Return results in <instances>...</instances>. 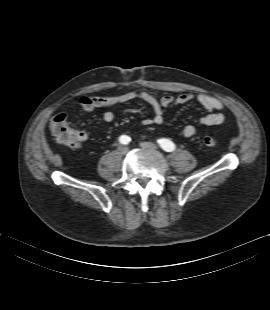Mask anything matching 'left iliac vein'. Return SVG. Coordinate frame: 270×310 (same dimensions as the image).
Wrapping results in <instances>:
<instances>
[{
	"label": "left iliac vein",
	"mask_w": 270,
	"mask_h": 310,
	"mask_svg": "<svg viewBox=\"0 0 270 310\" xmlns=\"http://www.w3.org/2000/svg\"><path fill=\"white\" fill-rule=\"evenodd\" d=\"M140 146L144 149L156 150L157 146L151 142H141Z\"/></svg>",
	"instance_id": "1"
}]
</instances>
